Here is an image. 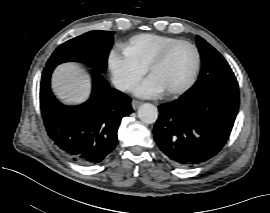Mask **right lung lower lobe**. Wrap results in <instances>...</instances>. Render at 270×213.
Masks as SVG:
<instances>
[{
	"mask_svg": "<svg viewBox=\"0 0 270 213\" xmlns=\"http://www.w3.org/2000/svg\"><path fill=\"white\" fill-rule=\"evenodd\" d=\"M54 68H44L40 86L41 112L47 133L72 160L85 165L100 163L117 145L120 121L133 111L131 99L111 90L101 73L93 71L90 99L79 106H65L50 90Z\"/></svg>",
	"mask_w": 270,
	"mask_h": 213,
	"instance_id": "1",
	"label": "right lung lower lobe"
}]
</instances>
